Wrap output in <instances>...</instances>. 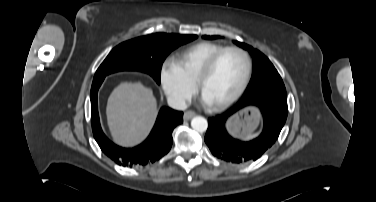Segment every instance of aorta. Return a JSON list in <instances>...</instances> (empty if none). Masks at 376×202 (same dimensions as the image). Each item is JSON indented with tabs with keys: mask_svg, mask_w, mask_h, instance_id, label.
<instances>
[{
	"mask_svg": "<svg viewBox=\"0 0 376 202\" xmlns=\"http://www.w3.org/2000/svg\"><path fill=\"white\" fill-rule=\"evenodd\" d=\"M191 127L200 133H203L207 130L208 122L204 117L196 116L191 120Z\"/></svg>",
	"mask_w": 376,
	"mask_h": 202,
	"instance_id": "762f6f07",
	"label": "aorta"
}]
</instances>
